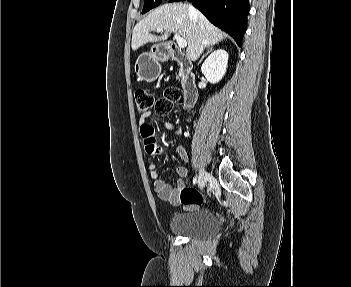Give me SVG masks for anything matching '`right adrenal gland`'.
I'll list each match as a JSON object with an SVG mask.
<instances>
[{
	"instance_id": "1",
	"label": "right adrenal gland",
	"mask_w": 351,
	"mask_h": 287,
	"mask_svg": "<svg viewBox=\"0 0 351 287\" xmlns=\"http://www.w3.org/2000/svg\"><path fill=\"white\" fill-rule=\"evenodd\" d=\"M212 50H213V46H210V45L207 46V52L201 57V59H200V61H199L198 64H200V63L203 61L204 57H205L206 55H208Z\"/></svg>"
}]
</instances>
